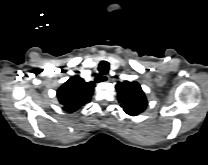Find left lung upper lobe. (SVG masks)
<instances>
[{"mask_svg":"<svg viewBox=\"0 0 208 165\" xmlns=\"http://www.w3.org/2000/svg\"><path fill=\"white\" fill-rule=\"evenodd\" d=\"M116 90L118 101L128 115L136 116L145 110L147 100L141 86L137 82H118Z\"/></svg>","mask_w":208,"mask_h":165,"instance_id":"left-lung-upper-lobe-1","label":"left lung upper lobe"}]
</instances>
